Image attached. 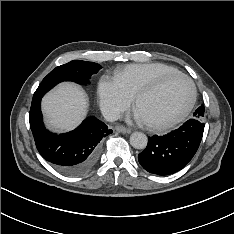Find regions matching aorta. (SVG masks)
<instances>
[{"instance_id": "762f6f07", "label": "aorta", "mask_w": 234, "mask_h": 234, "mask_svg": "<svg viewBox=\"0 0 234 234\" xmlns=\"http://www.w3.org/2000/svg\"><path fill=\"white\" fill-rule=\"evenodd\" d=\"M147 136L142 132H134L130 136V144L135 149H144L147 146Z\"/></svg>"}]
</instances>
